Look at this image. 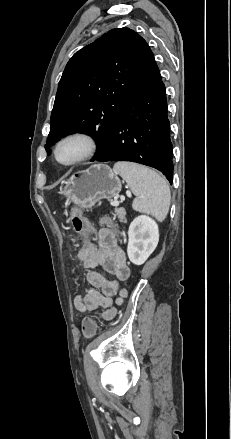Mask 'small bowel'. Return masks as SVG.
<instances>
[{
    "label": "small bowel",
    "mask_w": 231,
    "mask_h": 439,
    "mask_svg": "<svg viewBox=\"0 0 231 439\" xmlns=\"http://www.w3.org/2000/svg\"><path fill=\"white\" fill-rule=\"evenodd\" d=\"M91 252L89 261L84 264L87 269L86 278L91 285L83 294L74 297L73 304L81 313H91V308H96L97 317L111 320L117 312L116 304H120L127 292L119 289L118 281L126 280L130 275V268L126 255L121 248L115 232L111 229H100L97 242L86 243L79 250L78 257L86 252ZM101 266L105 272L116 279H109L101 272L95 270ZM119 294L115 303L113 297Z\"/></svg>",
    "instance_id": "1"
}]
</instances>
